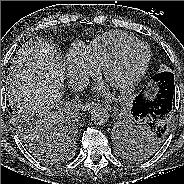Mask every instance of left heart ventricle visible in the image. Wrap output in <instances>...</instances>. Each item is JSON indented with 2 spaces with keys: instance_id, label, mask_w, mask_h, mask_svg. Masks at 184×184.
<instances>
[{
  "instance_id": "obj_1",
  "label": "left heart ventricle",
  "mask_w": 184,
  "mask_h": 184,
  "mask_svg": "<svg viewBox=\"0 0 184 184\" xmlns=\"http://www.w3.org/2000/svg\"><path fill=\"white\" fill-rule=\"evenodd\" d=\"M145 56L146 51L142 48L130 50L107 70L104 79L112 86L121 85L139 70Z\"/></svg>"
}]
</instances>
